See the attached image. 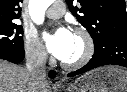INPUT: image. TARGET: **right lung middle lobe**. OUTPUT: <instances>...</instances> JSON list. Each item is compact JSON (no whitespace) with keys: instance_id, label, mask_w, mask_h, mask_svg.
Instances as JSON below:
<instances>
[{"instance_id":"dd1d6c3e","label":"right lung middle lobe","mask_w":127,"mask_h":92,"mask_svg":"<svg viewBox=\"0 0 127 92\" xmlns=\"http://www.w3.org/2000/svg\"><path fill=\"white\" fill-rule=\"evenodd\" d=\"M23 27L15 23L0 24V46L24 50Z\"/></svg>"}]
</instances>
